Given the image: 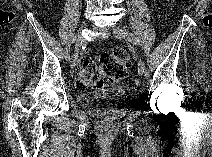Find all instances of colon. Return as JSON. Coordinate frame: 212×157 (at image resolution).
<instances>
[{
    "label": "colon",
    "mask_w": 212,
    "mask_h": 157,
    "mask_svg": "<svg viewBox=\"0 0 212 157\" xmlns=\"http://www.w3.org/2000/svg\"><path fill=\"white\" fill-rule=\"evenodd\" d=\"M129 65L128 53L122 48H114L100 56L99 65L92 60L80 69L78 89L99 88L104 83H114L127 76Z\"/></svg>",
    "instance_id": "obj_1"
}]
</instances>
